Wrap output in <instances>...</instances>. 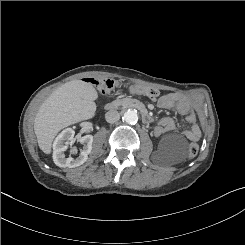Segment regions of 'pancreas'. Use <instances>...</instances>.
Here are the masks:
<instances>
[{
	"mask_svg": "<svg viewBox=\"0 0 245 245\" xmlns=\"http://www.w3.org/2000/svg\"><path fill=\"white\" fill-rule=\"evenodd\" d=\"M112 104L115 106L127 107V106H135L136 104H139V102L135 99L124 98V99H117Z\"/></svg>",
	"mask_w": 245,
	"mask_h": 245,
	"instance_id": "obj_1",
	"label": "pancreas"
}]
</instances>
